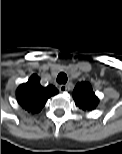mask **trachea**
<instances>
[{
	"label": "trachea",
	"instance_id": "3493384b",
	"mask_svg": "<svg viewBox=\"0 0 122 154\" xmlns=\"http://www.w3.org/2000/svg\"><path fill=\"white\" fill-rule=\"evenodd\" d=\"M68 80V77L66 75V73L61 72L60 74H58L57 76V82L59 84H65Z\"/></svg>",
	"mask_w": 122,
	"mask_h": 154
}]
</instances>
